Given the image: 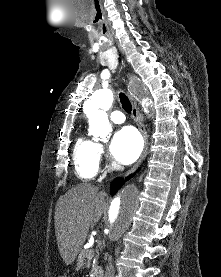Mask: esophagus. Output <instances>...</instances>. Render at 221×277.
Instances as JSON below:
<instances>
[{
    "mask_svg": "<svg viewBox=\"0 0 221 277\" xmlns=\"http://www.w3.org/2000/svg\"><path fill=\"white\" fill-rule=\"evenodd\" d=\"M128 95H129V99H130L131 104H132V116H133V118H134V120H135V122H136V124L139 128L140 133L143 136V139H144V150H143V153H142L139 161L137 162V164L133 167V169H131L128 173H126V175L131 173L132 171H134L138 167V165L143 161V159L147 155L148 145H149L148 134H147L146 127H145V124H144V121H143V117L141 116V114L139 112L136 99H135L134 95L131 92H128Z\"/></svg>",
    "mask_w": 221,
    "mask_h": 277,
    "instance_id": "1",
    "label": "esophagus"
}]
</instances>
